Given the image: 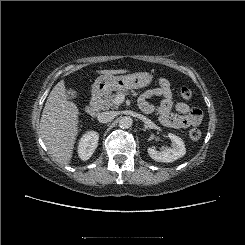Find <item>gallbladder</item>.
<instances>
[{
    "label": "gallbladder",
    "instance_id": "bac80fb5",
    "mask_svg": "<svg viewBox=\"0 0 245 245\" xmlns=\"http://www.w3.org/2000/svg\"><path fill=\"white\" fill-rule=\"evenodd\" d=\"M77 96H78V93H77L76 90H74V89H72V88H70V89L67 90V98H68V99H74V98H76Z\"/></svg>",
    "mask_w": 245,
    "mask_h": 245
}]
</instances>
